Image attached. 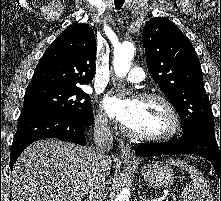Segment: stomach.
I'll use <instances>...</instances> for the list:
<instances>
[{
  "mask_svg": "<svg viewBox=\"0 0 221 201\" xmlns=\"http://www.w3.org/2000/svg\"><path fill=\"white\" fill-rule=\"evenodd\" d=\"M144 181L153 188L169 186L173 180V170L165 162H152L141 168Z\"/></svg>",
  "mask_w": 221,
  "mask_h": 201,
  "instance_id": "obj_1",
  "label": "stomach"
}]
</instances>
